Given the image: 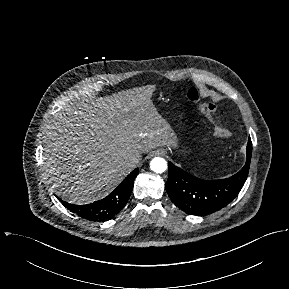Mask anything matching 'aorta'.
<instances>
[{
	"label": "aorta",
	"instance_id": "aorta-1",
	"mask_svg": "<svg viewBox=\"0 0 289 289\" xmlns=\"http://www.w3.org/2000/svg\"><path fill=\"white\" fill-rule=\"evenodd\" d=\"M150 168L156 173H163L167 169V162L164 158L155 157L150 163Z\"/></svg>",
	"mask_w": 289,
	"mask_h": 289
}]
</instances>
